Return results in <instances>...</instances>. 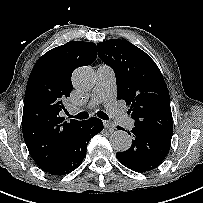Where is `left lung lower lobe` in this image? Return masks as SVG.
Here are the masks:
<instances>
[{
  "label": "left lung lower lobe",
  "mask_w": 203,
  "mask_h": 203,
  "mask_svg": "<svg viewBox=\"0 0 203 203\" xmlns=\"http://www.w3.org/2000/svg\"><path fill=\"white\" fill-rule=\"evenodd\" d=\"M128 133L133 136L131 147L116 153L117 159L124 166L144 173L157 168L164 161L169 152L171 137L160 136L137 127Z\"/></svg>",
  "instance_id": "0a47b994"
}]
</instances>
